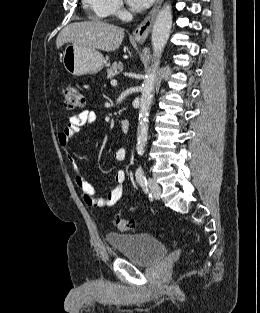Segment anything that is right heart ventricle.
<instances>
[{"label":"right heart ventricle","instance_id":"e07e8e85","mask_svg":"<svg viewBox=\"0 0 260 313\" xmlns=\"http://www.w3.org/2000/svg\"><path fill=\"white\" fill-rule=\"evenodd\" d=\"M83 2L94 19L103 20L112 14L109 0H83Z\"/></svg>","mask_w":260,"mask_h":313}]
</instances>
